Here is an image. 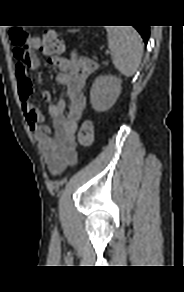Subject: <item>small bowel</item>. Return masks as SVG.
Masks as SVG:
<instances>
[{
	"instance_id": "small-bowel-1",
	"label": "small bowel",
	"mask_w": 184,
	"mask_h": 292,
	"mask_svg": "<svg viewBox=\"0 0 184 292\" xmlns=\"http://www.w3.org/2000/svg\"><path fill=\"white\" fill-rule=\"evenodd\" d=\"M39 47L38 38L29 39L27 57L24 60L16 58L15 74L26 123L43 152L49 172L57 175L77 161L75 133L86 104L83 88L98 66L95 61L80 57L76 52L69 56H53L48 60L51 66L60 70L57 81L65 87L67 98V102L59 99L57 103L49 104L48 113L53 122V129H50L44 124L39 108L30 100L33 81L28 71L39 67V60L33 52ZM41 97L45 102L51 100L46 90H42Z\"/></svg>"
}]
</instances>
